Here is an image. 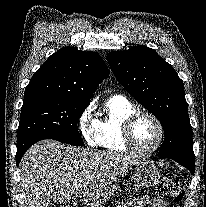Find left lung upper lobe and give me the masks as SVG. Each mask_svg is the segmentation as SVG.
Wrapping results in <instances>:
<instances>
[{
	"instance_id": "left-lung-upper-lobe-1",
	"label": "left lung upper lobe",
	"mask_w": 206,
	"mask_h": 207,
	"mask_svg": "<svg viewBox=\"0 0 206 207\" xmlns=\"http://www.w3.org/2000/svg\"><path fill=\"white\" fill-rule=\"evenodd\" d=\"M107 60L120 84L161 122L165 140L158 156L194 164L188 104L174 68L145 46L113 51Z\"/></svg>"
}]
</instances>
